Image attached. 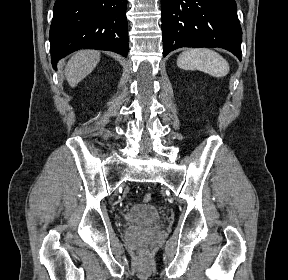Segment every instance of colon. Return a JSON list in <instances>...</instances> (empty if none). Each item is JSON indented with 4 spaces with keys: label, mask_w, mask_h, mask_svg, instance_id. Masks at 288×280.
I'll return each instance as SVG.
<instances>
[{
    "label": "colon",
    "mask_w": 288,
    "mask_h": 280,
    "mask_svg": "<svg viewBox=\"0 0 288 280\" xmlns=\"http://www.w3.org/2000/svg\"><path fill=\"white\" fill-rule=\"evenodd\" d=\"M152 199H153V196H152L151 193H146V194H144V196H143V201H144L145 203H150V202L152 201Z\"/></svg>",
    "instance_id": "1"
}]
</instances>
